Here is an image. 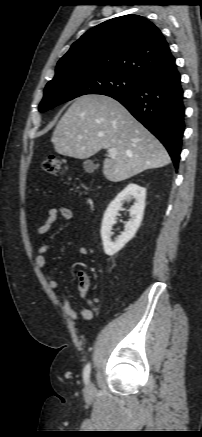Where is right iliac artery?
<instances>
[{"mask_svg":"<svg viewBox=\"0 0 202 437\" xmlns=\"http://www.w3.org/2000/svg\"><path fill=\"white\" fill-rule=\"evenodd\" d=\"M90 369H91V366H90V364L88 363V364L85 366L84 371H83V379H84L85 384H88V382H89Z\"/></svg>","mask_w":202,"mask_h":437,"instance_id":"obj_1","label":"right iliac artery"}]
</instances>
